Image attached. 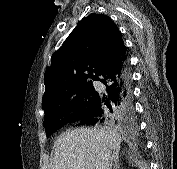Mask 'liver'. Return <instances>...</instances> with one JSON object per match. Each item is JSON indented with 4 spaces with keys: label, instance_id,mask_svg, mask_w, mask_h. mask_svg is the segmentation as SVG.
Listing matches in <instances>:
<instances>
[{
    "label": "liver",
    "instance_id": "6515ba94",
    "mask_svg": "<svg viewBox=\"0 0 177 169\" xmlns=\"http://www.w3.org/2000/svg\"><path fill=\"white\" fill-rule=\"evenodd\" d=\"M122 137L113 128H77L62 133L54 143L51 169H111Z\"/></svg>",
    "mask_w": 177,
    "mask_h": 169
}]
</instances>
